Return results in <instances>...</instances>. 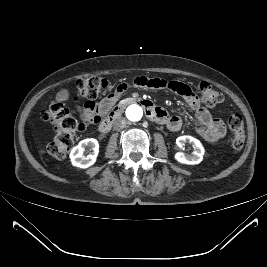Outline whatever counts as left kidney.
Here are the masks:
<instances>
[{
	"instance_id": "left-kidney-1",
	"label": "left kidney",
	"mask_w": 267,
	"mask_h": 267,
	"mask_svg": "<svg viewBox=\"0 0 267 267\" xmlns=\"http://www.w3.org/2000/svg\"><path fill=\"white\" fill-rule=\"evenodd\" d=\"M189 143L192 145V147L194 148V152L193 155H188L185 154L183 152H177L175 154V159L182 164H188V165H194V164H199L202 159H203V155H204V147L201 144V142L192 137V136H180L176 139V144L183 149L185 144Z\"/></svg>"
}]
</instances>
